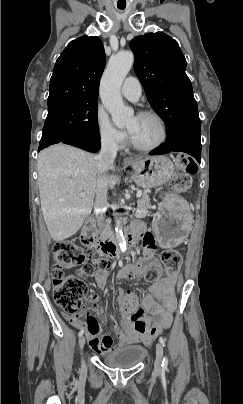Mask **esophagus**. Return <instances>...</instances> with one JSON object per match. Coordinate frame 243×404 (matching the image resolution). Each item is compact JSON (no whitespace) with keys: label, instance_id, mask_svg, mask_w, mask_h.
Here are the masks:
<instances>
[{"label":"esophagus","instance_id":"34e87169","mask_svg":"<svg viewBox=\"0 0 243 404\" xmlns=\"http://www.w3.org/2000/svg\"><path fill=\"white\" fill-rule=\"evenodd\" d=\"M124 162H125V164H130L132 162V160L130 158L126 157L124 159Z\"/></svg>","mask_w":243,"mask_h":404}]
</instances>
